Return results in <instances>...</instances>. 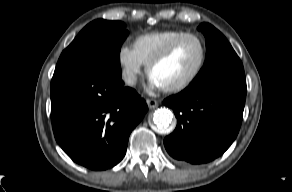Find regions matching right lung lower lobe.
<instances>
[{
    "label": "right lung lower lobe",
    "mask_w": 292,
    "mask_h": 192,
    "mask_svg": "<svg viewBox=\"0 0 292 192\" xmlns=\"http://www.w3.org/2000/svg\"><path fill=\"white\" fill-rule=\"evenodd\" d=\"M148 107L121 76L84 64H60L51 81V120L57 143L92 170L125 156L131 131Z\"/></svg>",
    "instance_id": "98d812e1"
}]
</instances>
